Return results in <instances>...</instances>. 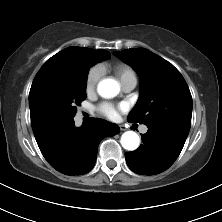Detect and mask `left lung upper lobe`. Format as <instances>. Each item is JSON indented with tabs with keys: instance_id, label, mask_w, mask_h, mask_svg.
<instances>
[{
	"instance_id": "1",
	"label": "left lung upper lobe",
	"mask_w": 222,
	"mask_h": 222,
	"mask_svg": "<svg viewBox=\"0 0 222 222\" xmlns=\"http://www.w3.org/2000/svg\"><path fill=\"white\" fill-rule=\"evenodd\" d=\"M114 54L133 67L141 78L140 96L128 116L129 122L151 125L174 121L190 129L191 93L183 76L171 63L144 48Z\"/></svg>"
}]
</instances>
